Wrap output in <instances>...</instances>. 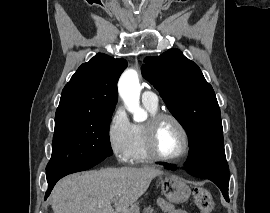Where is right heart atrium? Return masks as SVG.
I'll return each instance as SVG.
<instances>
[{
	"mask_svg": "<svg viewBox=\"0 0 270 213\" xmlns=\"http://www.w3.org/2000/svg\"><path fill=\"white\" fill-rule=\"evenodd\" d=\"M131 126L128 116L122 107H117L113 112L107 137L110 148L120 162L128 160V152L131 143Z\"/></svg>",
	"mask_w": 270,
	"mask_h": 213,
	"instance_id": "1",
	"label": "right heart atrium"
}]
</instances>
